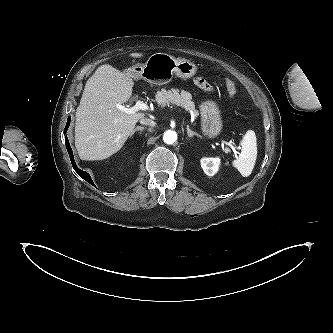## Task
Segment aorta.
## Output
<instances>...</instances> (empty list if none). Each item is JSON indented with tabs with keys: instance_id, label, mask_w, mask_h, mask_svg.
<instances>
[{
	"instance_id": "762f6f07",
	"label": "aorta",
	"mask_w": 333,
	"mask_h": 333,
	"mask_svg": "<svg viewBox=\"0 0 333 333\" xmlns=\"http://www.w3.org/2000/svg\"><path fill=\"white\" fill-rule=\"evenodd\" d=\"M163 140L167 144H173L177 140V133L172 130H168L164 133Z\"/></svg>"
}]
</instances>
